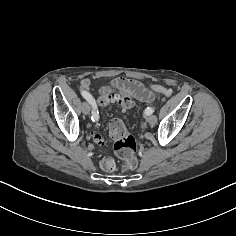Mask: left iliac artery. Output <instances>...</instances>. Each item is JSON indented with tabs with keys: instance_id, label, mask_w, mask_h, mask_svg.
Returning <instances> with one entry per match:
<instances>
[{
	"instance_id": "44dca946",
	"label": "left iliac artery",
	"mask_w": 236,
	"mask_h": 236,
	"mask_svg": "<svg viewBox=\"0 0 236 236\" xmlns=\"http://www.w3.org/2000/svg\"><path fill=\"white\" fill-rule=\"evenodd\" d=\"M153 112H154V108H152V107H148V108L145 109V114H146V115H150V114H152Z\"/></svg>"
}]
</instances>
